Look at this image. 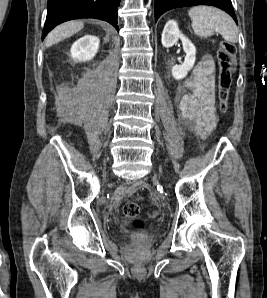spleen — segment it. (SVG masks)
Masks as SVG:
<instances>
[{"label": "spleen", "mask_w": 267, "mask_h": 298, "mask_svg": "<svg viewBox=\"0 0 267 298\" xmlns=\"http://www.w3.org/2000/svg\"><path fill=\"white\" fill-rule=\"evenodd\" d=\"M194 33L202 38L214 32L230 43L238 41V29L234 20L224 11L211 6H195L188 12Z\"/></svg>", "instance_id": "obj_1"}]
</instances>
